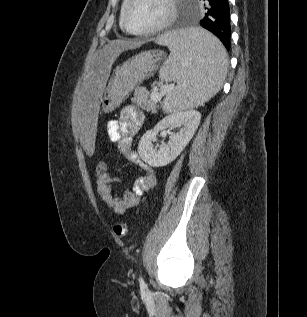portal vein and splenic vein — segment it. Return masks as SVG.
<instances>
[{"label":"portal vein and splenic vein","instance_id":"obj_1","mask_svg":"<svg viewBox=\"0 0 307 317\" xmlns=\"http://www.w3.org/2000/svg\"><path fill=\"white\" fill-rule=\"evenodd\" d=\"M174 88V85H167L162 89V91H153L150 95L151 100L153 101H159L164 94L171 91Z\"/></svg>","mask_w":307,"mask_h":317}]
</instances>
